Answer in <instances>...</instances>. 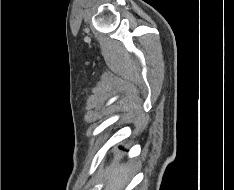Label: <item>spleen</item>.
<instances>
[{
  "instance_id": "3e777b00",
  "label": "spleen",
  "mask_w": 234,
  "mask_h": 190,
  "mask_svg": "<svg viewBox=\"0 0 234 190\" xmlns=\"http://www.w3.org/2000/svg\"><path fill=\"white\" fill-rule=\"evenodd\" d=\"M129 173V166L114 164L107 171V182L104 190H122L129 181Z\"/></svg>"
}]
</instances>
